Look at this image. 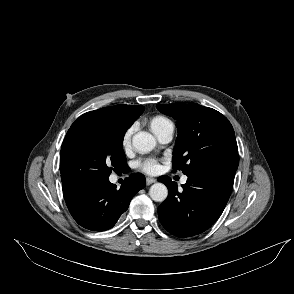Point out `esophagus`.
I'll return each mask as SVG.
<instances>
[{
    "label": "esophagus",
    "mask_w": 294,
    "mask_h": 294,
    "mask_svg": "<svg viewBox=\"0 0 294 294\" xmlns=\"http://www.w3.org/2000/svg\"><path fill=\"white\" fill-rule=\"evenodd\" d=\"M155 182H156V179H154V178H151V177L146 178V184L147 185H151V184H153Z\"/></svg>",
    "instance_id": "obj_1"
}]
</instances>
